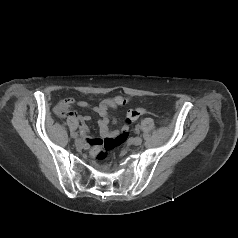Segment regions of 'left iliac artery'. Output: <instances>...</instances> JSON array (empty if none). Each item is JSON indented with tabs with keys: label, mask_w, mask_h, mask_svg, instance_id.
Returning a JSON list of instances; mask_svg holds the SVG:
<instances>
[{
	"label": "left iliac artery",
	"mask_w": 238,
	"mask_h": 238,
	"mask_svg": "<svg viewBox=\"0 0 238 238\" xmlns=\"http://www.w3.org/2000/svg\"><path fill=\"white\" fill-rule=\"evenodd\" d=\"M142 138H143L144 140H148V139L150 138V135H149L148 133H144V134L142 135Z\"/></svg>",
	"instance_id": "left-iliac-artery-1"
}]
</instances>
